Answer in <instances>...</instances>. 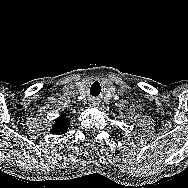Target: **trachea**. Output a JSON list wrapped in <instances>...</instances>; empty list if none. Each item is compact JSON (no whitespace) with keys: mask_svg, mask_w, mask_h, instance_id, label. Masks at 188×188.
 Instances as JSON below:
<instances>
[{"mask_svg":"<svg viewBox=\"0 0 188 188\" xmlns=\"http://www.w3.org/2000/svg\"><path fill=\"white\" fill-rule=\"evenodd\" d=\"M102 91H103L102 84H100V83H94L91 86L90 94H91L92 97L97 98V97L100 96V94L102 93Z\"/></svg>","mask_w":188,"mask_h":188,"instance_id":"3493384b","label":"trachea"}]
</instances>
